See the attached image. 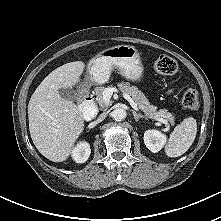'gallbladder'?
I'll use <instances>...</instances> for the list:
<instances>
[{
	"label": "gallbladder",
	"mask_w": 221,
	"mask_h": 221,
	"mask_svg": "<svg viewBox=\"0 0 221 221\" xmlns=\"http://www.w3.org/2000/svg\"><path fill=\"white\" fill-rule=\"evenodd\" d=\"M59 94L62 98L70 101H76L79 98L78 93L71 88H62L59 90Z\"/></svg>",
	"instance_id": "gallbladder-1"
}]
</instances>
